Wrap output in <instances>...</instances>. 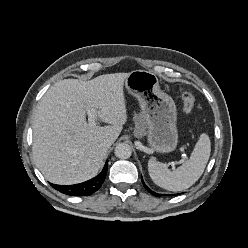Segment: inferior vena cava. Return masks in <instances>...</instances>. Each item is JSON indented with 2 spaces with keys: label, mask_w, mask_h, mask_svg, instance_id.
Returning a JSON list of instances; mask_svg holds the SVG:
<instances>
[{
  "label": "inferior vena cava",
  "mask_w": 248,
  "mask_h": 248,
  "mask_svg": "<svg viewBox=\"0 0 248 248\" xmlns=\"http://www.w3.org/2000/svg\"><path fill=\"white\" fill-rule=\"evenodd\" d=\"M113 141L111 139H104L100 145L104 148H110V146L112 145Z\"/></svg>",
  "instance_id": "inferior-vena-cava-1"
}]
</instances>
